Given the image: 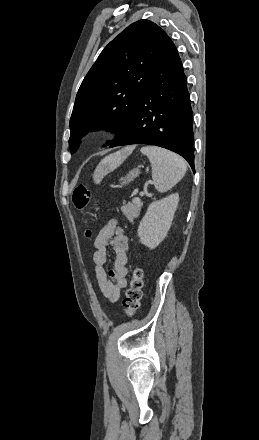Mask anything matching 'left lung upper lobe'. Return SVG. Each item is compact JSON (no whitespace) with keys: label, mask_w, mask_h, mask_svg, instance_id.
Wrapping results in <instances>:
<instances>
[{"label":"left lung upper lobe","mask_w":259,"mask_h":440,"mask_svg":"<svg viewBox=\"0 0 259 440\" xmlns=\"http://www.w3.org/2000/svg\"><path fill=\"white\" fill-rule=\"evenodd\" d=\"M168 38L158 25L143 19L132 23L104 48L76 95L70 119L72 153L89 131L110 127L116 139L120 136Z\"/></svg>","instance_id":"left-lung-upper-lobe-1"}]
</instances>
